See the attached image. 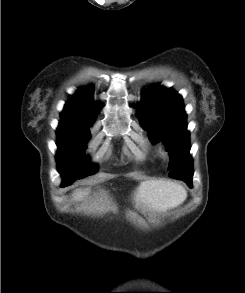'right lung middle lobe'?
I'll return each mask as SVG.
<instances>
[{
  "label": "right lung middle lobe",
  "mask_w": 245,
  "mask_h": 293,
  "mask_svg": "<svg viewBox=\"0 0 245 293\" xmlns=\"http://www.w3.org/2000/svg\"><path fill=\"white\" fill-rule=\"evenodd\" d=\"M57 137L56 161L58 171L63 177L61 187L96 172L97 165H90L85 155L86 144L91 138L89 128L59 126Z\"/></svg>",
  "instance_id": "right-lung-middle-lobe-1"
}]
</instances>
